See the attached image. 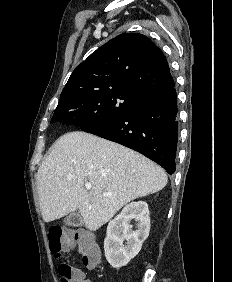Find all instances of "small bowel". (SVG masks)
<instances>
[{"instance_id":"small-bowel-1","label":"small bowel","mask_w":232,"mask_h":282,"mask_svg":"<svg viewBox=\"0 0 232 282\" xmlns=\"http://www.w3.org/2000/svg\"><path fill=\"white\" fill-rule=\"evenodd\" d=\"M77 274L81 277L80 282H92L91 280H89L85 277V274L82 270L77 269Z\"/></svg>"}]
</instances>
